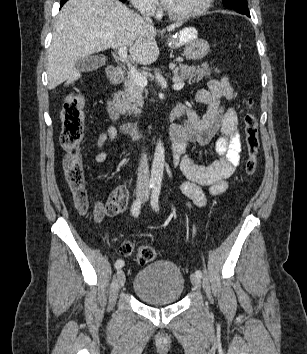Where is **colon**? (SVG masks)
Listing matches in <instances>:
<instances>
[{"mask_svg":"<svg viewBox=\"0 0 307 354\" xmlns=\"http://www.w3.org/2000/svg\"><path fill=\"white\" fill-rule=\"evenodd\" d=\"M84 98L74 91L67 95L61 111L62 131L60 136L61 145L66 151L63 160L65 176L73 195L76 208L83 213L93 211L94 217L100 219L107 209L99 205L93 206L86 189L84 169L81 158V141L83 138V113ZM248 112L244 117L245 145L247 161L245 171L249 176L256 173L258 167L259 138L258 122L254 113V102L248 101ZM122 256H134L136 261L144 264L155 260L157 252L154 247L142 245L135 247L130 242L120 245Z\"/></svg>","mask_w":307,"mask_h":354,"instance_id":"obj_1","label":"colon"}]
</instances>
